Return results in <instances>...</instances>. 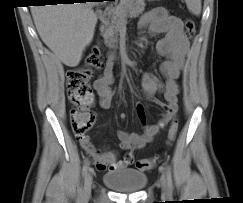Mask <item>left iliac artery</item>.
<instances>
[{"label": "left iliac artery", "mask_w": 243, "mask_h": 203, "mask_svg": "<svg viewBox=\"0 0 243 203\" xmlns=\"http://www.w3.org/2000/svg\"><path fill=\"white\" fill-rule=\"evenodd\" d=\"M166 176H167V180H168V187L170 190H172L173 183H172L171 169L167 165H166Z\"/></svg>", "instance_id": "left-iliac-artery-1"}]
</instances>
